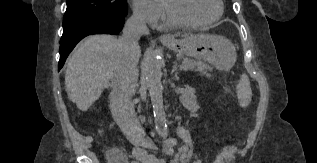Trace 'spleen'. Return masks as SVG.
Returning a JSON list of instances; mask_svg holds the SVG:
<instances>
[{"label": "spleen", "instance_id": "spleen-1", "mask_svg": "<svg viewBox=\"0 0 317 163\" xmlns=\"http://www.w3.org/2000/svg\"><path fill=\"white\" fill-rule=\"evenodd\" d=\"M236 93L240 104L242 106L247 105L248 101L251 99L252 91L248 76L245 73L240 77L239 83L236 87Z\"/></svg>", "mask_w": 317, "mask_h": 163}]
</instances>
